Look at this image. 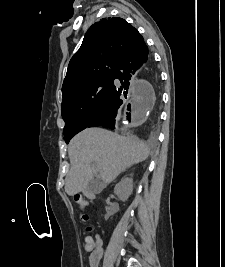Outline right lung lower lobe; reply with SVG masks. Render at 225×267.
Masks as SVG:
<instances>
[{"instance_id":"right-lung-lower-lobe-1","label":"right lung lower lobe","mask_w":225,"mask_h":267,"mask_svg":"<svg viewBox=\"0 0 225 267\" xmlns=\"http://www.w3.org/2000/svg\"><path fill=\"white\" fill-rule=\"evenodd\" d=\"M138 70L146 73L154 83L159 81L152 59L148 54V47L144 41L123 55L114 73V79H118L122 86H114L107 102L93 117L87 127L103 126L115 129L117 111L124 104L123 96L126 97L130 85H133L135 73Z\"/></svg>"}]
</instances>
